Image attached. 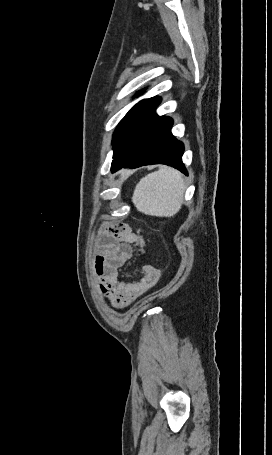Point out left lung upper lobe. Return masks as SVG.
Returning <instances> with one entry per match:
<instances>
[{
    "label": "left lung upper lobe",
    "instance_id": "left-lung-upper-lobe-1",
    "mask_svg": "<svg viewBox=\"0 0 272 455\" xmlns=\"http://www.w3.org/2000/svg\"><path fill=\"white\" fill-rule=\"evenodd\" d=\"M140 94L142 92H139ZM155 98V97H154ZM154 98H150V99H145V100H142L140 101L138 104H136L126 115L125 117L121 120V122L119 123V125L117 126L115 132H114V135H113V143L115 142L118 134L120 133V131L122 130V128L125 126V124L140 110L142 109L147 103H149L152 99Z\"/></svg>",
    "mask_w": 272,
    "mask_h": 455
}]
</instances>
